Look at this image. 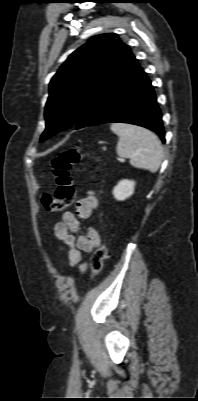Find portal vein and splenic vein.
I'll list each match as a JSON object with an SVG mask.
<instances>
[{"label": "portal vein and splenic vein", "instance_id": "obj_1", "mask_svg": "<svg viewBox=\"0 0 198 401\" xmlns=\"http://www.w3.org/2000/svg\"><path fill=\"white\" fill-rule=\"evenodd\" d=\"M118 160H119L120 162H124V159H122V158H118Z\"/></svg>", "mask_w": 198, "mask_h": 401}]
</instances>
